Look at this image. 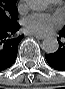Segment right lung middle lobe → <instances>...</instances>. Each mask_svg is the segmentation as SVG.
I'll return each instance as SVG.
<instances>
[{
  "mask_svg": "<svg viewBox=\"0 0 65 89\" xmlns=\"http://www.w3.org/2000/svg\"><path fill=\"white\" fill-rule=\"evenodd\" d=\"M17 0H0V26H11L17 23Z\"/></svg>",
  "mask_w": 65,
  "mask_h": 89,
  "instance_id": "obj_1",
  "label": "right lung middle lobe"
}]
</instances>
